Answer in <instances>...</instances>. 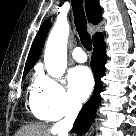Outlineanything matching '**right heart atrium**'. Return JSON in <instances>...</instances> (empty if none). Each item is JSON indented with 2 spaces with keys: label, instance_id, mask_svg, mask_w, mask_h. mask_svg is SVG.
I'll list each match as a JSON object with an SVG mask.
<instances>
[{
  "label": "right heart atrium",
  "instance_id": "1",
  "mask_svg": "<svg viewBox=\"0 0 136 136\" xmlns=\"http://www.w3.org/2000/svg\"><path fill=\"white\" fill-rule=\"evenodd\" d=\"M34 110L46 120H58L72 115L79 109L64 88L62 81L46 75H39L31 96Z\"/></svg>",
  "mask_w": 136,
  "mask_h": 136
}]
</instances>
